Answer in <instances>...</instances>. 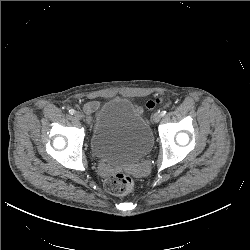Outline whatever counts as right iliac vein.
<instances>
[{"label":"right iliac vein","mask_w":250,"mask_h":250,"mask_svg":"<svg viewBox=\"0 0 250 250\" xmlns=\"http://www.w3.org/2000/svg\"><path fill=\"white\" fill-rule=\"evenodd\" d=\"M74 118L76 120H81L83 118V114L81 112H75Z\"/></svg>","instance_id":"right-iliac-vein-1"}]
</instances>
